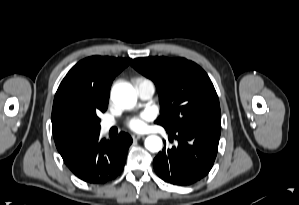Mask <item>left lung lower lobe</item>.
<instances>
[{
  "instance_id": "left-lung-lower-lobe-1",
  "label": "left lung lower lobe",
  "mask_w": 299,
  "mask_h": 205,
  "mask_svg": "<svg viewBox=\"0 0 299 205\" xmlns=\"http://www.w3.org/2000/svg\"><path fill=\"white\" fill-rule=\"evenodd\" d=\"M178 146L164 149L153 160L156 174L174 185H191L211 170L218 151L220 122L167 129Z\"/></svg>"
}]
</instances>
